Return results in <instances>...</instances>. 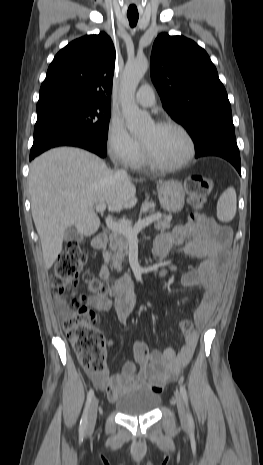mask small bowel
Listing matches in <instances>:
<instances>
[{"label": "small bowel", "mask_w": 263, "mask_h": 465, "mask_svg": "<svg viewBox=\"0 0 263 465\" xmlns=\"http://www.w3.org/2000/svg\"><path fill=\"white\" fill-rule=\"evenodd\" d=\"M229 241L227 230L202 227L192 222L177 225L156 238L153 248L156 257L163 258L174 247H178L181 253L202 259L196 268L182 277L184 287L204 289L194 315L197 329L185 335L179 351L173 348L149 350L143 341L137 340L134 345L137 364L126 362L115 374H110L107 369L98 373L90 372L93 383L107 391L110 401L117 400L135 387H146L159 393L168 381L177 377L188 365L197 346L199 331L209 321L222 290ZM117 288L121 294L114 300L95 295L89 297L88 302L98 311L113 309L119 322L126 324L135 309L131 296L132 278L127 274L122 276L117 282Z\"/></svg>", "instance_id": "1"}]
</instances>
